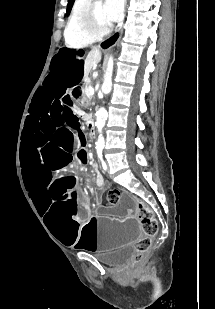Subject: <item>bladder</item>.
Masks as SVG:
<instances>
[{
	"label": "bladder",
	"mask_w": 215,
	"mask_h": 309,
	"mask_svg": "<svg viewBox=\"0 0 215 309\" xmlns=\"http://www.w3.org/2000/svg\"><path fill=\"white\" fill-rule=\"evenodd\" d=\"M135 252L132 246H125L112 253L99 254L97 255V259L107 266L120 267L127 264L135 255Z\"/></svg>",
	"instance_id": "1"
}]
</instances>
